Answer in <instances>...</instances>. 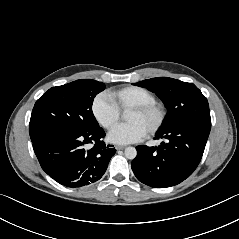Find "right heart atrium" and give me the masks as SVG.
<instances>
[{
  "mask_svg": "<svg viewBox=\"0 0 239 239\" xmlns=\"http://www.w3.org/2000/svg\"><path fill=\"white\" fill-rule=\"evenodd\" d=\"M91 112L97 123L105 129L113 128L121 116L120 110L106 93L94 98Z\"/></svg>",
  "mask_w": 239,
  "mask_h": 239,
  "instance_id": "obj_1",
  "label": "right heart atrium"
}]
</instances>
